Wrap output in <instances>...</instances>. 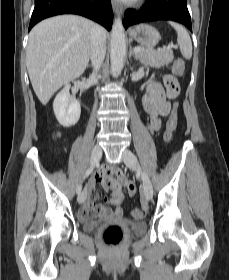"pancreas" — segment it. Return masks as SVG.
Wrapping results in <instances>:
<instances>
[{
  "mask_svg": "<svg viewBox=\"0 0 229 280\" xmlns=\"http://www.w3.org/2000/svg\"><path fill=\"white\" fill-rule=\"evenodd\" d=\"M135 57L143 64H149L152 67L167 66L174 60L171 49H146L142 48L141 52H135Z\"/></svg>",
  "mask_w": 229,
  "mask_h": 280,
  "instance_id": "1",
  "label": "pancreas"
}]
</instances>
